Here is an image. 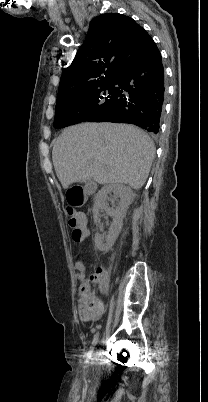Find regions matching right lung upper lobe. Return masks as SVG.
I'll return each mask as SVG.
<instances>
[{
	"label": "right lung upper lobe",
	"mask_w": 208,
	"mask_h": 402,
	"mask_svg": "<svg viewBox=\"0 0 208 402\" xmlns=\"http://www.w3.org/2000/svg\"><path fill=\"white\" fill-rule=\"evenodd\" d=\"M145 34L144 28L122 14L94 18L83 45L63 71L58 94L97 80H115Z\"/></svg>",
	"instance_id": "right-lung-upper-lobe-1"
}]
</instances>
